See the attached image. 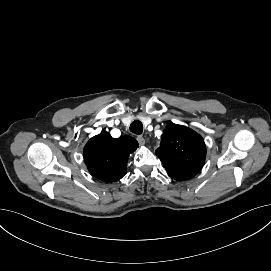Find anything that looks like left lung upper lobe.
<instances>
[{
  "label": "left lung upper lobe",
  "mask_w": 271,
  "mask_h": 271,
  "mask_svg": "<svg viewBox=\"0 0 271 271\" xmlns=\"http://www.w3.org/2000/svg\"><path fill=\"white\" fill-rule=\"evenodd\" d=\"M168 175L178 181L194 177L205 162L206 146L203 138L190 128L169 123L155 151Z\"/></svg>",
  "instance_id": "obj_1"
}]
</instances>
